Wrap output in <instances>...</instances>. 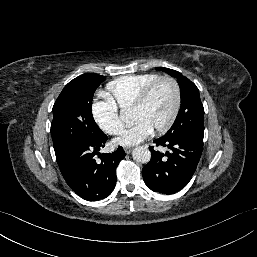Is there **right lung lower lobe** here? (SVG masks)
Here are the masks:
<instances>
[{
  "label": "right lung lower lobe",
  "mask_w": 257,
  "mask_h": 257,
  "mask_svg": "<svg viewBox=\"0 0 257 257\" xmlns=\"http://www.w3.org/2000/svg\"><path fill=\"white\" fill-rule=\"evenodd\" d=\"M107 136L89 144H71L55 153L66 183L81 198L96 201L106 198L116 185V168L125 157L122 147L113 153L100 154ZM98 155L100 161L95 160Z\"/></svg>",
  "instance_id": "obj_1"
}]
</instances>
